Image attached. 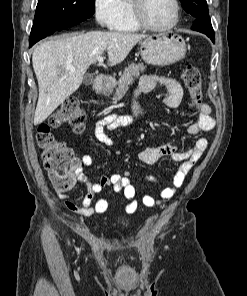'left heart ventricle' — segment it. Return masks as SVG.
Listing matches in <instances>:
<instances>
[{
    "label": "left heart ventricle",
    "instance_id": "b2bd125f",
    "mask_svg": "<svg viewBox=\"0 0 247 296\" xmlns=\"http://www.w3.org/2000/svg\"><path fill=\"white\" fill-rule=\"evenodd\" d=\"M144 17L154 26H165L172 21L174 8L171 0H145Z\"/></svg>",
    "mask_w": 247,
    "mask_h": 296
}]
</instances>
